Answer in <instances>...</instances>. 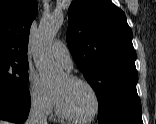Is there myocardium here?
<instances>
[{
  "mask_svg": "<svg viewBox=\"0 0 156 124\" xmlns=\"http://www.w3.org/2000/svg\"><path fill=\"white\" fill-rule=\"evenodd\" d=\"M66 78L70 82L79 83V84L86 86L91 91V93L93 94L95 98V109L89 116H86V117L73 116L64 108L58 94L54 91V98H55V104H56L58 115L62 119L69 121V122H74V123H87V122L93 121L101 113V110H102V99L98 90L95 88V86L91 82H89L88 80L82 77L67 74Z\"/></svg>",
  "mask_w": 156,
  "mask_h": 124,
  "instance_id": "myocardium-1",
  "label": "myocardium"
}]
</instances>
